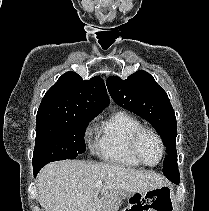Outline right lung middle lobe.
<instances>
[{
	"label": "right lung middle lobe",
	"mask_w": 209,
	"mask_h": 211,
	"mask_svg": "<svg viewBox=\"0 0 209 211\" xmlns=\"http://www.w3.org/2000/svg\"><path fill=\"white\" fill-rule=\"evenodd\" d=\"M94 116L36 120L33 168L49 162L75 159L85 152L84 133Z\"/></svg>",
	"instance_id": "right-lung-middle-lobe-1"
}]
</instances>
